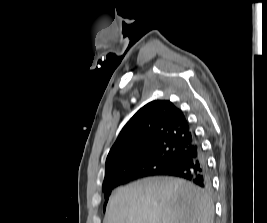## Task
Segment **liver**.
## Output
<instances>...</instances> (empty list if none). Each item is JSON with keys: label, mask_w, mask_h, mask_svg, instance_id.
Wrapping results in <instances>:
<instances>
[{"label": "liver", "mask_w": 267, "mask_h": 223, "mask_svg": "<svg viewBox=\"0 0 267 223\" xmlns=\"http://www.w3.org/2000/svg\"><path fill=\"white\" fill-rule=\"evenodd\" d=\"M208 194L178 178L153 177L116 189L104 223H213Z\"/></svg>", "instance_id": "liver-1"}]
</instances>
